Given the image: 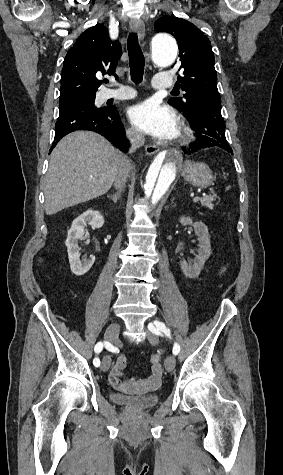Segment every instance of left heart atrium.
Returning a JSON list of instances; mask_svg holds the SVG:
<instances>
[{"mask_svg":"<svg viewBox=\"0 0 283 475\" xmlns=\"http://www.w3.org/2000/svg\"><path fill=\"white\" fill-rule=\"evenodd\" d=\"M128 120L135 130L154 138L169 140L178 135L175 112L155 100H146L131 107Z\"/></svg>","mask_w":283,"mask_h":475,"instance_id":"left-heart-atrium-1","label":"left heart atrium"}]
</instances>
